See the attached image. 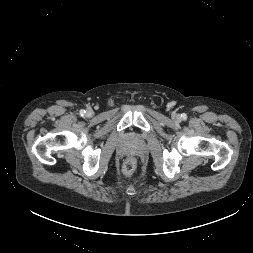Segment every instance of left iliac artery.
I'll use <instances>...</instances> for the list:
<instances>
[{"mask_svg":"<svg viewBox=\"0 0 253 253\" xmlns=\"http://www.w3.org/2000/svg\"><path fill=\"white\" fill-rule=\"evenodd\" d=\"M183 119H186V114L181 115Z\"/></svg>","mask_w":253,"mask_h":253,"instance_id":"44dca946","label":"left iliac artery"}]
</instances>
